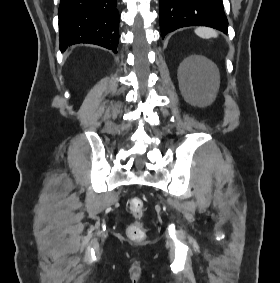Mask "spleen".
Listing matches in <instances>:
<instances>
[{
  "label": "spleen",
  "mask_w": 280,
  "mask_h": 283,
  "mask_svg": "<svg viewBox=\"0 0 280 283\" xmlns=\"http://www.w3.org/2000/svg\"><path fill=\"white\" fill-rule=\"evenodd\" d=\"M195 33L199 37L204 38V39L216 38L218 36V33L214 29H211L208 27H198L195 29ZM217 79H218V76H217ZM217 87H218V82L214 84V88L217 89Z\"/></svg>",
  "instance_id": "obj_1"
}]
</instances>
